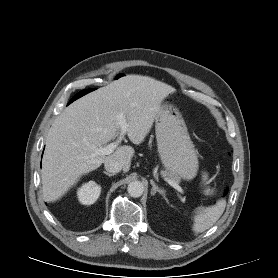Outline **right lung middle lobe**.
Segmentation results:
<instances>
[{"label": "right lung middle lobe", "mask_w": 278, "mask_h": 278, "mask_svg": "<svg viewBox=\"0 0 278 278\" xmlns=\"http://www.w3.org/2000/svg\"><path fill=\"white\" fill-rule=\"evenodd\" d=\"M90 91H91V89L83 90V91H81L80 93H78V95H79V96H82V95H84V94H86V93H88V92H90Z\"/></svg>", "instance_id": "1"}]
</instances>
